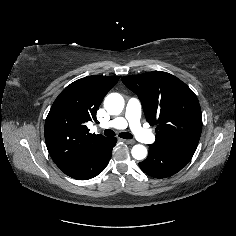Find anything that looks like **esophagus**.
I'll list each match as a JSON object with an SVG mask.
<instances>
[{
	"label": "esophagus",
	"mask_w": 236,
	"mask_h": 236,
	"mask_svg": "<svg viewBox=\"0 0 236 236\" xmlns=\"http://www.w3.org/2000/svg\"><path fill=\"white\" fill-rule=\"evenodd\" d=\"M126 144H129V145H133V144H135V141L134 140H131V139H129V140H123Z\"/></svg>",
	"instance_id": "esophagus-1"
}]
</instances>
